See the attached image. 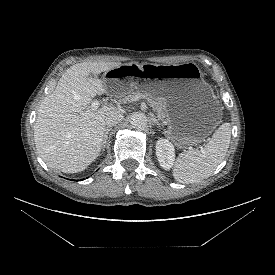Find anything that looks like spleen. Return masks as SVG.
<instances>
[{
    "label": "spleen",
    "mask_w": 275,
    "mask_h": 275,
    "mask_svg": "<svg viewBox=\"0 0 275 275\" xmlns=\"http://www.w3.org/2000/svg\"><path fill=\"white\" fill-rule=\"evenodd\" d=\"M231 125L223 123L202 150H188L179 154L173 177L180 183L200 182L213 174L223 161L230 144Z\"/></svg>",
    "instance_id": "obj_1"
}]
</instances>
